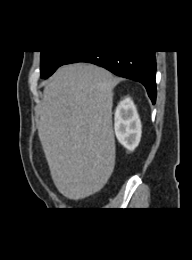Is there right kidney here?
<instances>
[{
	"mask_svg": "<svg viewBox=\"0 0 192 260\" xmlns=\"http://www.w3.org/2000/svg\"><path fill=\"white\" fill-rule=\"evenodd\" d=\"M141 121L133 101H121L115 112L114 130L118 141L129 151H134L141 139Z\"/></svg>",
	"mask_w": 192,
	"mask_h": 260,
	"instance_id": "right-kidney-1",
	"label": "right kidney"
}]
</instances>
